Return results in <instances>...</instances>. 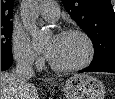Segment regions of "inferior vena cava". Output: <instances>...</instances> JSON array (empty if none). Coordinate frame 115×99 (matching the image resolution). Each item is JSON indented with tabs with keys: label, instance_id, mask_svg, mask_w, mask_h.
Masks as SVG:
<instances>
[{
	"label": "inferior vena cava",
	"instance_id": "inferior-vena-cava-1",
	"mask_svg": "<svg viewBox=\"0 0 115 99\" xmlns=\"http://www.w3.org/2000/svg\"><path fill=\"white\" fill-rule=\"evenodd\" d=\"M34 74L31 60L28 57H19L15 69L17 81L20 84H25Z\"/></svg>",
	"mask_w": 115,
	"mask_h": 99
}]
</instances>
